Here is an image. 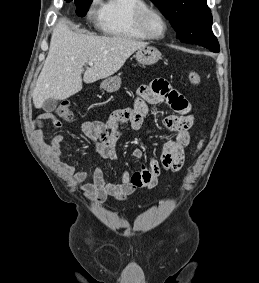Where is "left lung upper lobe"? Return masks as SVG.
Returning a JSON list of instances; mask_svg holds the SVG:
<instances>
[{
	"mask_svg": "<svg viewBox=\"0 0 259 283\" xmlns=\"http://www.w3.org/2000/svg\"><path fill=\"white\" fill-rule=\"evenodd\" d=\"M172 23L183 43L217 41L212 32V14L207 0H152Z\"/></svg>",
	"mask_w": 259,
	"mask_h": 283,
	"instance_id": "1",
	"label": "left lung upper lobe"
}]
</instances>
